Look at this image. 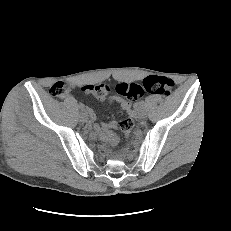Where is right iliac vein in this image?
<instances>
[{
    "instance_id": "63e3f726",
    "label": "right iliac vein",
    "mask_w": 231,
    "mask_h": 231,
    "mask_svg": "<svg viewBox=\"0 0 231 231\" xmlns=\"http://www.w3.org/2000/svg\"><path fill=\"white\" fill-rule=\"evenodd\" d=\"M80 119L84 122L89 120V115L85 110L80 113Z\"/></svg>"
}]
</instances>
